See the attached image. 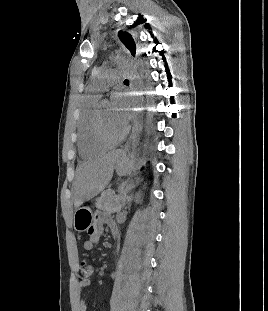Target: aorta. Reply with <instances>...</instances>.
I'll use <instances>...</instances> for the list:
<instances>
[{
	"label": "aorta",
	"instance_id": "762f6f07",
	"mask_svg": "<svg viewBox=\"0 0 268 311\" xmlns=\"http://www.w3.org/2000/svg\"><path fill=\"white\" fill-rule=\"evenodd\" d=\"M115 64L118 67L125 69V75H127L128 82L132 83L130 127L133 128V130L129 140L130 150L128 154L132 159L138 146L140 127L142 124L143 88L141 87L140 72H138L136 65H130L128 59L124 57L115 59Z\"/></svg>",
	"mask_w": 268,
	"mask_h": 311
}]
</instances>
